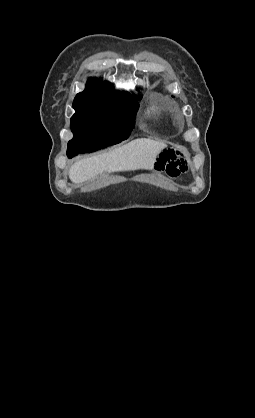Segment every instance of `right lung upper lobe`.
I'll use <instances>...</instances> for the list:
<instances>
[{"label": "right lung upper lobe", "mask_w": 255, "mask_h": 418, "mask_svg": "<svg viewBox=\"0 0 255 418\" xmlns=\"http://www.w3.org/2000/svg\"><path fill=\"white\" fill-rule=\"evenodd\" d=\"M87 93H114V94H125L113 91L112 86L109 82H103L102 80L89 78V82L86 85V89L79 94ZM78 95V94H77Z\"/></svg>", "instance_id": "1"}]
</instances>
